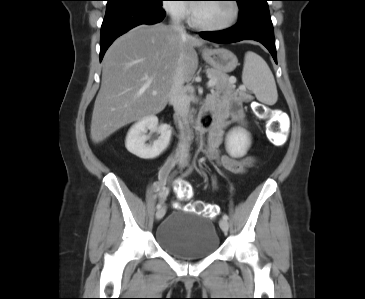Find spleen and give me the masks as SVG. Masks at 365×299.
Instances as JSON below:
<instances>
[{
  "label": "spleen",
  "instance_id": "1",
  "mask_svg": "<svg viewBox=\"0 0 365 299\" xmlns=\"http://www.w3.org/2000/svg\"><path fill=\"white\" fill-rule=\"evenodd\" d=\"M242 82L260 102L267 105L276 103L278 93L274 76L266 61L252 51L245 54Z\"/></svg>",
  "mask_w": 365,
  "mask_h": 299
}]
</instances>
